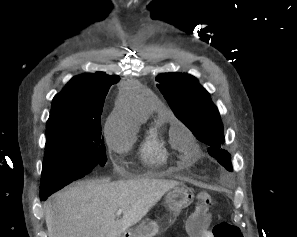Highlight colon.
Wrapping results in <instances>:
<instances>
[{
	"label": "colon",
	"instance_id": "obj_1",
	"mask_svg": "<svg viewBox=\"0 0 297 237\" xmlns=\"http://www.w3.org/2000/svg\"><path fill=\"white\" fill-rule=\"evenodd\" d=\"M213 206V199L207 192H200L197 195V212L190 220L188 227L191 237H197L205 231L209 220L210 210ZM214 237H242L240 229L228 222H220L213 228Z\"/></svg>",
	"mask_w": 297,
	"mask_h": 237
}]
</instances>
